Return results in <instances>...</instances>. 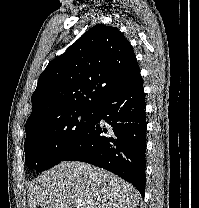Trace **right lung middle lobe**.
Masks as SVG:
<instances>
[{"mask_svg":"<svg viewBox=\"0 0 199 208\" xmlns=\"http://www.w3.org/2000/svg\"><path fill=\"white\" fill-rule=\"evenodd\" d=\"M93 120L94 107H84L30 131L24 143L27 167L44 171L63 161L85 136Z\"/></svg>","mask_w":199,"mask_h":208,"instance_id":"1","label":"right lung middle lobe"}]
</instances>
